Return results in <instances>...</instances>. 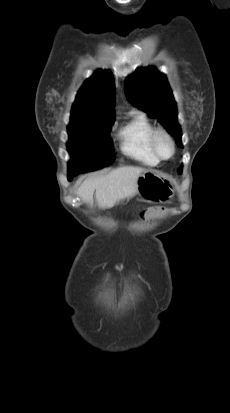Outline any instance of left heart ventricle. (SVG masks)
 Masks as SVG:
<instances>
[{
	"label": "left heart ventricle",
	"instance_id": "obj_1",
	"mask_svg": "<svg viewBox=\"0 0 230 413\" xmlns=\"http://www.w3.org/2000/svg\"><path fill=\"white\" fill-rule=\"evenodd\" d=\"M157 146L161 155L168 157L171 154V145L164 137L158 139Z\"/></svg>",
	"mask_w": 230,
	"mask_h": 413
}]
</instances>
